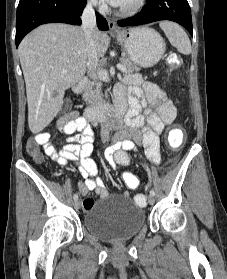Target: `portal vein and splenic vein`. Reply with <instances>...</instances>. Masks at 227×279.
<instances>
[{
  "label": "portal vein and splenic vein",
  "mask_w": 227,
  "mask_h": 279,
  "mask_svg": "<svg viewBox=\"0 0 227 279\" xmlns=\"http://www.w3.org/2000/svg\"><path fill=\"white\" fill-rule=\"evenodd\" d=\"M117 68H118L121 72H125V70H126L125 67H124L123 65H121V64H118V65H117ZM65 72H66L65 70L62 71V73H65Z\"/></svg>",
  "instance_id": "18ae733b"
}]
</instances>
